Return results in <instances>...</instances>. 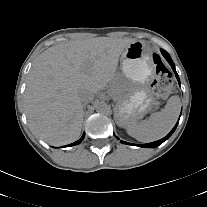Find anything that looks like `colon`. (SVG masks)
<instances>
[{"label": "colon", "instance_id": "5ec220e1", "mask_svg": "<svg viewBox=\"0 0 207 207\" xmlns=\"http://www.w3.org/2000/svg\"><path fill=\"white\" fill-rule=\"evenodd\" d=\"M153 63L156 68V78L152 84L153 91L158 98L163 99L169 95L171 90V74L158 54L153 55Z\"/></svg>", "mask_w": 207, "mask_h": 207}]
</instances>
